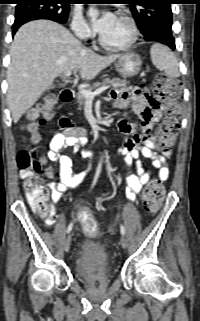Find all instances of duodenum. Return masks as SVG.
Wrapping results in <instances>:
<instances>
[{
	"label": "duodenum",
	"mask_w": 200,
	"mask_h": 321,
	"mask_svg": "<svg viewBox=\"0 0 200 321\" xmlns=\"http://www.w3.org/2000/svg\"><path fill=\"white\" fill-rule=\"evenodd\" d=\"M75 97V93L72 89H69V88H66V89H63L61 94H60V99L64 102V103H70L73 101ZM61 125L63 128L69 130V129H72L73 128V125L72 123L66 119V118H63L61 120Z\"/></svg>",
	"instance_id": "1"
}]
</instances>
